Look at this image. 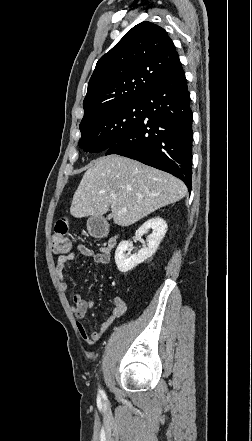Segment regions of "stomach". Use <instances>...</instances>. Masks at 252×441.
Listing matches in <instances>:
<instances>
[{"label": "stomach", "instance_id": "stomach-1", "mask_svg": "<svg viewBox=\"0 0 252 441\" xmlns=\"http://www.w3.org/2000/svg\"><path fill=\"white\" fill-rule=\"evenodd\" d=\"M92 220H93V218H90L88 220V223H87L88 229H91V222H92Z\"/></svg>", "mask_w": 252, "mask_h": 441}]
</instances>
